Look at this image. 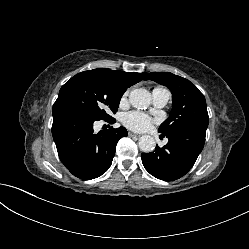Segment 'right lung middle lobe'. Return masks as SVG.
<instances>
[{
    "instance_id": "1",
    "label": "right lung middle lobe",
    "mask_w": 249,
    "mask_h": 249,
    "mask_svg": "<svg viewBox=\"0 0 249 249\" xmlns=\"http://www.w3.org/2000/svg\"><path fill=\"white\" fill-rule=\"evenodd\" d=\"M125 92L108 77L95 71L76 74L60 89L54 105H66L94 120H111Z\"/></svg>"
}]
</instances>
